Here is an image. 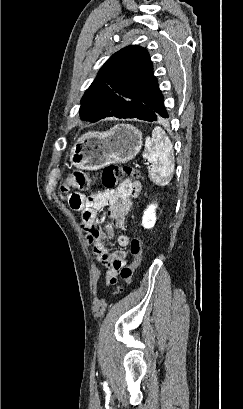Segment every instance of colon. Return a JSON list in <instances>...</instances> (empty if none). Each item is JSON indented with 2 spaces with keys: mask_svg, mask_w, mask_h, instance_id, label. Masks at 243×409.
Listing matches in <instances>:
<instances>
[{
  "mask_svg": "<svg viewBox=\"0 0 243 409\" xmlns=\"http://www.w3.org/2000/svg\"><path fill=\"white\" fill-rule=\"evenodd\" d=\"M101 177L103 185L111 189L117 186L124 177H127L129 181L137 182L140 178V174L130 167L108 164L103 167ZM90 185V178L85 172L75 171L60 184V195L68 200L70 206H77L78 200L74 196L75 193H71V190L86 191L90 188ZM130 249L133 259L130 264L122 267L119 271L120 277L125 282V286L118 287L115 291L116 295L122 293L125 287L130 285L133 273L141 262L142 242L140 238L136 237L131 241Z\"/></svg>",
  "mask_w": 243,
  "mask_h": 409,
  "instance_id": "obj_1",
  "label": "colon"
}]
</instances>
